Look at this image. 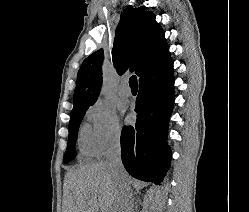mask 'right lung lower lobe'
Segmentation results:
<instances>
[{"mask_svg":"<svg viewBox=\"0 0 249 212\" xmlns=\"http://www.w3.org/2000/svg\"><path fill=\"white\" fill-rule=\"evenodd\" d=\"M174 96L169 54L139 78L136 124L122 129V162L137 179L159 184L168 170L171 152L166 138Z\"/></svg>","mask_w":249,"mask_h":212,"instance_id":"obj_1","label":"right lung lower lobe"}]
</instances>
